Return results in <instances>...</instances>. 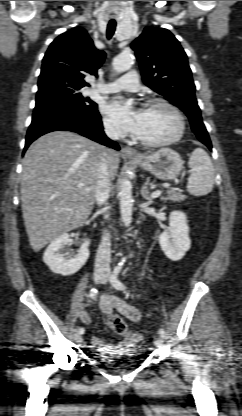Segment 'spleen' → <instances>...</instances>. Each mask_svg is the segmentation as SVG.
<instances>
[{
  "mask_svg": "<svg viewBox=\"0 0 242 416\" xmlns=\"http://www.w3.org/2000/svg\"><path fill=\"white\" fill-rule=\"evenodd\" d=\"M190 176L187 191L194 196H203L212 191L214 167L209 155L202 148H196L188 162Z\"/></svg>",
  "mask_w": 242,
  "mask_h": 416,
  "instance_id": "1",
  "label": "spleen"
}]
</instances>
